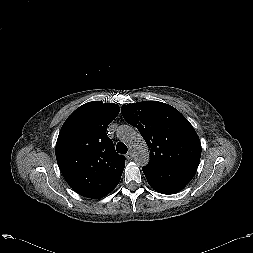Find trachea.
Here are the masks:
<instances>
[{"label":"trachea","instance_id":"3493384b","mask_svg":"<svg viewBox=\"0 0 253 253\" xmlns=\"http://www.w3.org/2000/svg\"><path fill=\"white\" fill-rule=\"evenodd\" d=\"M116 150L120 154H126L127 153V146L123 142H118L116 145Z\"/></svg>","mask_w":253,"mask_h":253}]
</instances>
